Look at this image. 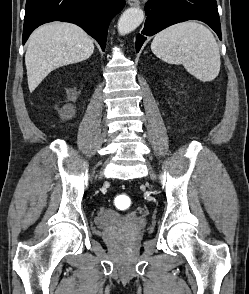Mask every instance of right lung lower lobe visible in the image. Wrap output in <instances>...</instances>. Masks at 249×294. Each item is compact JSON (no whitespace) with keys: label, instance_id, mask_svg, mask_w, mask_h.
Wrapping results in <instances>:
<instances>
[{"label":"right lung lower lobe","instance_id":"98d812e1","mask_svg":"<svg viewBox=\"0 0 249 294\" xmlns=\"http://www.w3.org/2000/svg\"><path fill=\"white\" fill-rule=\"evenodd\" d=\"M124 6L125 0H27L22 43L38 26L64 21L83 28L104 51L109 22Z\"/></svg>","mask_w":249,"mask_h":294}]
</instances>
